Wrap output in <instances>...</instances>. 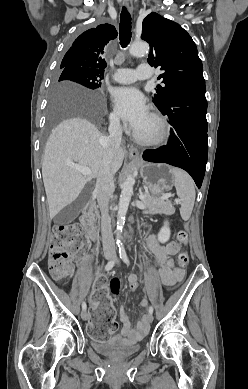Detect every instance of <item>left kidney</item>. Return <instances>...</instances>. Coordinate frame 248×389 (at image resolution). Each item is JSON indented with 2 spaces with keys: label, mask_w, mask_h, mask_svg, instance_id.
<instances>
[{
  "label": "left kidney",
  "mask_w": 248,
  "mask_h": 389,
  "mask_svg": "<svg viewBox=\"0 0 248 389\" xmlns=\"http://www.w3.org/2000/svg\"><path fill=\"white\" fill-rule=\"evenodd\" d=\"M170 228L169 223L167 221L164 222L163 227L160 229L158 233V240L161 243H166L170 238Z\"/></svg>",
  "instance_id": "5707ae66"
}]
</instances>
